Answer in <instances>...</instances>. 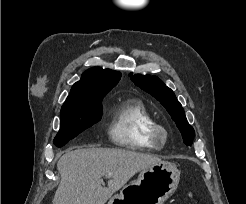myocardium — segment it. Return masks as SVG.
I'll list each match as a JSON object with an SVG mask.
<instances>
[{
	"label": "myocardium",
	"instance_id": "f54148a6",
	"mask_svg": "<svg viewBox=\"0 0 246 204\" xmlns=\"http://www.w3.org/2000/svg\"><path fill=\"white\" fill-rule=\"evenodd\" d=\"M169 137L168 130L161 124H155L150 132V140L157 146L161 147L166 144Z\"/></svg>",
	"mask_w": 246,
	"mask_h": 204
}]
</instances>
